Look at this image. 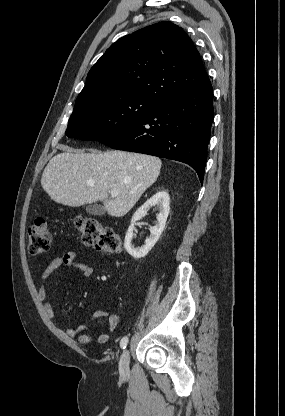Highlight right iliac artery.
<instances>
[{"instance_id": "1", "label": "right iliac artery", "mask_w": 285, "mask_h": 416, "mask_svg": "<svg viewBox=\"0 0 285 416\" xmlns=\"http://www.w3.org/2000/svg\"><path fill=\"white\" fill-rule=\"evenodd\" d=\"M127 343H128V337H127V336H125V337H123V338H122V340H121V342H120V346H121V348H122V349H125V348H126V346H127Z\"/></svg>"}]
</instances>
